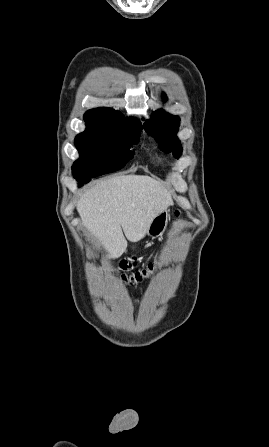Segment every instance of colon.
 <instances>
[{
  "label": "colon",
  "mask_w": 269,
  "mask_h": 447,
  "mask_svg": "<svg viewBox=\"0 0 269 447\" xmlns=\"http://www.w3.org/2000/svg\"><path fill=\"white\" fill-rule=\"evenodd\" d=\"M176 218L181 217V211L176 210L174 213ZM160 259H156L154 261L148 262L144 264L141 268H139V264L137 262H128L126 264V269L128 271H134L129 274H125L120 277L121 283L125 286H134L151 278L159 265Z\"/></svg>",
  "instance_id": "colon-1"
}]
</instances>
